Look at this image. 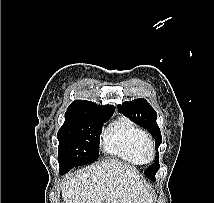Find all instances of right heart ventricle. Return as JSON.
Returning a JSON list of instances; mask_svg holds the SVG:
<instances>
[{"label": "right heart ventricle", "instance_id": "e07e8e85", "mask_svg": "<svg viewBox=\"0 0 214 203\" xmlns=\"http://www.w3.org/2000/svg\"><path fill=\"white\" fill-rule=\"evenodd\" d=\"M146 138L144 130L128 118L121 117L103 133L104 150L119 159L140 165L145 163L141 155V145Z\"/></svg>", "mask_w": 214, "mask_h": 203}]
</instances>
